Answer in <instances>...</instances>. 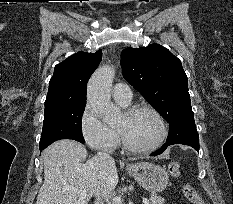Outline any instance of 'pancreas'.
I'll return each mask as SVG.
<instances>
[{
    "instance_id": "obj_1",
    "label": "pancreas",
    "mask_w": 233,
    "mask_h": 204,
    "mask_svg": "<svg viewBox=\"0 0 233 204\" xmlns=\"http://www.w3.org/2000/svg\"><path fill=\"white\" fill-rule=\"evenodd\" d=\"M151 203L150 204H165V200L162 197H159L155 194L151 195Z\"/></svg>"
}]
</instances>
